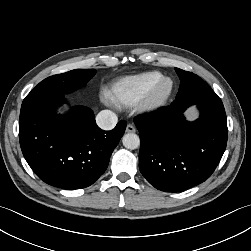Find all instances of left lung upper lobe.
<instances>
[{"mask_svg": "<svg viewBox=\"0 0 251 251\" xmlns=\"http://www.w3.org/2000/svg\"><path fill=\"white\" fill-rule=\"evenodd\" d=\"M175 71L177 72L181 81L179 92L187 91L192 89L193 86L202 85L206 83L200 77L191 72H187L179 68H175Z\"/></svg>", "mask_w": 251, "mask_h": 251, "instance_id": "left-lung-upper-lobe-1", "label": "left lung upper lobe"}]
</instances>
